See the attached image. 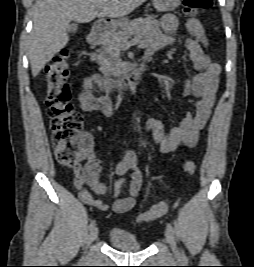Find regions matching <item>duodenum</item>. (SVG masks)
<instances>
[{
	"instance_id": "duodenum-1",
	"label": "duodenum",
	"mask_w": 254,
	"mask_h": 267,
	"mask_svg": "<svg viewBox=\"0 0 254 267\" xmlns=\"http://www.w3.org/2000/svg\"><path fill=\"white\" fill-rule=\"evenodd\" d=\"M106 28V22L105 21H98L96 22L89 35H88V42L91 45H98L102 42L104 38ZM146 70V62L125 75L122 82L116 86L117 92L123 93V92H130L138 83L142 75L144 74Z\"/></svg>"
}]
</instances>
